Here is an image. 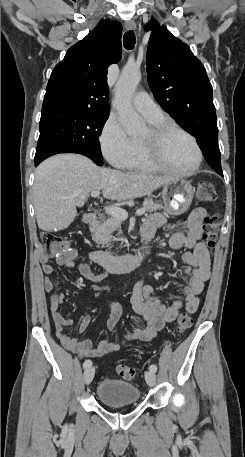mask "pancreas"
I'll use <instances>...</instances> for the list:
<instances>
[{
	"label": "pancreas",
	"instance_id": "cf45deb5",
	"mask_svg": "<svg viewBox=\"0 0 245 457\" xmlns=\"http://www.w3.org/2000/svg\"><path fill=\"white\" fill-rule=\"evenodd\" d=\"M143 208H145L146 212H155V210H160L163 208V204L160 202H154L153 198H144ZM121 224L122 220L120 218H115V216H108L106 220H98V222H92L89 224V231L91 233L92 241L97 243V247L102 245V249L110 247V241H124V239H116V237H112L113 231H118L117 235H121ZM120 249V247H119Z\"/></svg>",
	"mask_w": 245,
	"mask_h": 457
}]
</instances>
